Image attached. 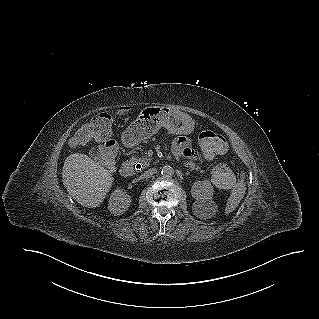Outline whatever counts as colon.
Instances as JSON below:
<instances>
[{
    "instance_id": "colon-1",
    "label": "colon",
    "mask_w": 319,
    "mask_h": 319,
    "mask_svg": "<svg viewBox=\"0 0 319 319\" xmlns=\"http://www.w3.org/2000/svg\"><path fill=\"white\" fill-rule=\"evenodd\" d=\"M108 114H98L83 126L72 138V145L78 147L88 141H98L100 145L92 152V156L100 160L106 167L111 168L116 161V132L109 123ZM199 142L204 156L213 159L225 151L224 139L214 131H203ZM214 180L223 187L234 185L233 173L224 165H216L213 169Z\"/></svg>"
}]
</instances>
